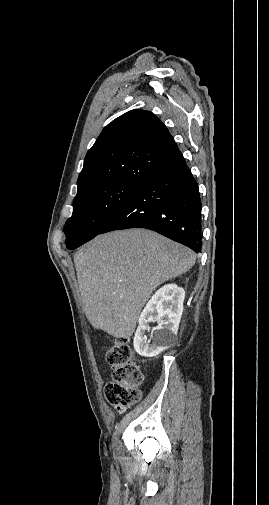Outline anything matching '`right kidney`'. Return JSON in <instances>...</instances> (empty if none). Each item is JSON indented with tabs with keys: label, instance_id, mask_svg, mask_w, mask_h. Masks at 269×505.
<instances>
[{
	"label": "right kidney",
	"instance_id": "ca27d5eb",
	"mask_svg": "<svg viewBox=\"0 0 269 505\" xmlns=\"http://www.w3.org/2000/svg\"><path fill=\"white\" fill-rule=\"evenodd\" d=\"M185 291L176 284H167L157 290L139 317L134 337L135 351L144 357H154L167 349L175 340L183 312ZM150 322H157L153 342L146 341Z\"/></svg>",
	"mask_w": 269,
	"mask_h": 505
}]
</instances>
